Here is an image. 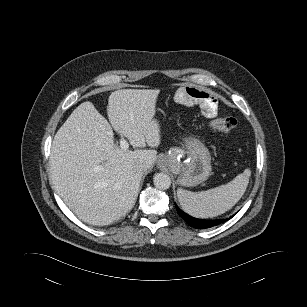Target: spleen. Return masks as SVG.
Returning <instances> with one entry per match:
<instances>
[{
  "label": "spleen",
  "instance_id": "1",
  "mask_svg": "<svg viewBox=\"0 0 307 307\" xmlns=\"http://www.w3.org/2000/svg\"><path fill=\"white\" fill-rule=\"evenodd\" d=\"M251 171L245 169L225 185L201 192L179 188L178 201L182 209L196 218L216 217L230 210L243 196L249 183Z\"/></svg>",
  "mask_w": 307,
  "mask_h": 307
}]
</instances>
